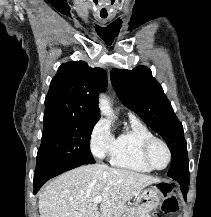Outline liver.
I'll return each mask as SVG.
<instances>
[{
	"instance_id": "6515ba94",
	"label": "liver",
	"mask_w": 211,
	"mask_h": 217,
	"mask_svg": "<svg viewBox=\"0 0 211 217\" xmlns=\"http://www.w3.org/2000/svg\"><path fill=\"white\" fill-rule=\"evenodd\" d=\"M159 182L152 176L92 164L68 171L39 194L40 217H113L133 196ZM102 196L100 212L93 202Z\"/></svg>"
}]
</instances>
